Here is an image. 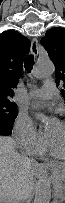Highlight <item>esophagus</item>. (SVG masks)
<instances>
[{"label":"esophagus","mask_w":65,"mask_h":203,"mask_svg":"<svg viewBox=\"0 0 65 203\" xmlns=\"http://www.w3.org/2000/svg\"><path fill=\"white\" fill-rule=\"evenodd\" d=\"M31 52L34 56L38 55V40L36 38H33L31 41Z\"/></svg>","instance_id":"obj_1"}]
</instances>
